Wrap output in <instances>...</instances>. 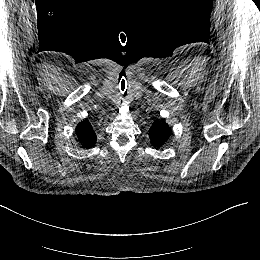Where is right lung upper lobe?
Here are the masks:
<instances>
[{
	"label": "right lung upper lobe",
	"instance_id": "right-lung-upper-lobe-1",
	"mask_svg": "<svg viewBox=\"0 0 260 260\" xmlns=\"http://www.w3.org/2000/svg\"><path fill=\"white\" fill-rule=\"evenodd\" d=\"M76 135L81 145L85 148L94 146L97 140V136L93 130V127L87 119L83 120L77 125Z\"/></svg>",
	"mask_w": 260,
	"mask_h": 260
}]
</instances>
